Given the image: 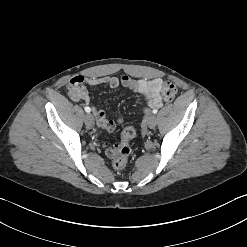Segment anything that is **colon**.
Segmentation results:
<instances>
[{
	"mask_svg": "<svg viewBox=\"0 0 247 247\" xmlns=\"http://www.w3.org/2000/svg\"><path fill=\"white\" fill-rule=\"evenodd\" d=\"M176 87L171 82H164L162 95L166 102H171L176 96ZM136 131L133 127H126L121 132V142L115 145L113 168L116 171H123L127 165L131 153L130 141L135 137Z\"/></svg>",
	"mask_w": 247,
	"mask_h": 247,
	"instance_id": "colon-1",
	"label": "colon"
}]
</instances>
